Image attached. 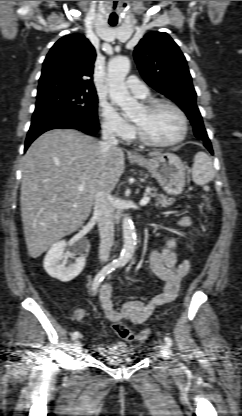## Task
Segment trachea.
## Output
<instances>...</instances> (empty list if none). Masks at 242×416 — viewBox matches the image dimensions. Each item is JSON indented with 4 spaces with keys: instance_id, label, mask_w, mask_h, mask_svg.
I'll list each match as a JSON object with an SVG mask.
<instances>
[{
    "instance_id": "trachea-1",
    "label": "trachea",
    "mask_w": 242,
    "mask_h": 416,
    "mask_svg": "<svg viewBox=\"0 0 242 416\" xmlns=\"http://www.w3.org/2000/svg\"><path fill=\"white\" fill-rule=\"evenodd\" d=\"M109 24H110L111 26H116V23H111V22H110Z\"/></svg>"
}]
</instances>
